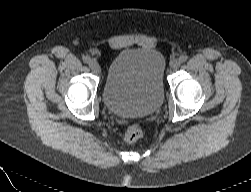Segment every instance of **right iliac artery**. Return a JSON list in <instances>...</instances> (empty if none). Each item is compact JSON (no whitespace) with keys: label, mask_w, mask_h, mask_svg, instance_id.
<instances>
[{"label":"right iliac artery","mask_w":251,"mask_h":192,"mask_svg":"<svg viewBox=\"0 0 251 192\" xmlns=\"http://www.w3.org/2000/svg\"><path fill=\"white\" fill-rule=\"evenodd\" d=\"M82 59H83V62H84V63H89V62H90V60H91V59H90V57H89V56H87V55H86V56H83V58H82Z\"/></svg>","instance_id":"obj_1"}]
</instances>
